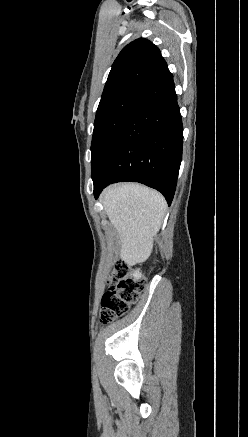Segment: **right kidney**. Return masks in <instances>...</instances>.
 Masks as SVG:
<instances>
[{
	"label": "right kidney",
	"instance_id": "obj_1",
	"mask_svg": "<svg viewBox=\"0 0 248 437\" xmlns=\"http://www.w3.org/2000/svg\"><path fill=\"white\" fill-rule=\"evenodd\" d=\"M141 277H142V274H141V272L139 271V269L136 270V271H134V278H135L136 280H139Z\"/></svg>",
	"mask_w": 248,
	"mask_h": 437
}]
</instances>
